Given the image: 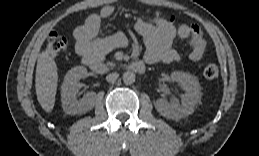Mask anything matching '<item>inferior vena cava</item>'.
Returning a JSON list of instances; mask_svg holds the SVG:
<instances>
[{
  "label": "inferior vena cava",
  "instance_id": "obj_1",
  "mask_svg": "<svg viewBox=\"0 0 259 156\" xmlns=\"http://www.w3.org/2000/svg\"><path fill=\"white\" fill-rule=\"evenodd\" d=\"M119 77V74L114 72V73H110L106 76V80L109 83H114Z\"/></svg>",
  "mask_w": 259,
  "mask_h": 156
}]
</instances>
